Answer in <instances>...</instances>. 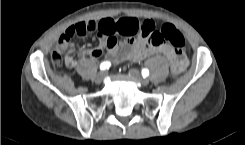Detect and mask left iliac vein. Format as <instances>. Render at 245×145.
<instances>
[{
    "label": "left iliac vein",
    "instance_id": "left-iliac-vein-1",
    "mask_svg": "<svg viewBox=\"0 0 245 145\" xmlns=\"http://www.w3.org/2000/svg\"><path fill=\"white\" fill-rule=\"evenodd\" d=\"M129 76L135 80L137 83H139L141 86H148L149 80L146 78H143L140 74V72L136 69H132L129 71Z\"/></svg>",
    "mask_w": 245,
    "mask_h": 145
}]
</instances>
